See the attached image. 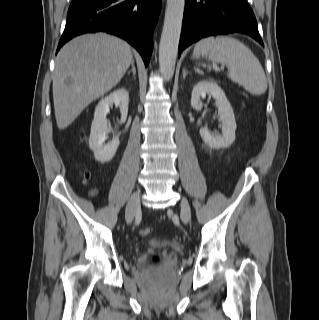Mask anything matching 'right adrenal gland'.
<instances>
[{"label":"right adrenal gland","mask_w":319,"mask_h":320,"mask_svg":"<svg viewBox=\"0 0 319 320\" xmlns=\"http://www.w3.org/2000/svg\"><path fill=\"white\" fill-rule=\"evenodd\" d=\"M131 67H132V72H133V75L135 76L136 75V68H135V65H134V60H132V62H131ZM129 73H130V71H129Z\"/></svg>","instance_id":"right-adrenal-gland-1"}]
</instances>
